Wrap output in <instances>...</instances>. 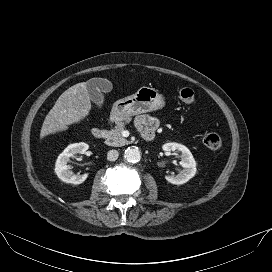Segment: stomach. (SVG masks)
I'll return each instance as SVG.
<instances>
[{"label":"stomach","instance_id":"stomach-1","mask_svg":"<svg viewBox=\"0 0 272 272\" xmlns=\"http://www.w3.org/2000/svg\"><path fill=\"white\" fill-rule=\"evenodd\" d=\"M165 98L154 88L143 86L130 96L117 100L111 114L117 120H126L134 115L162 109Z\"/></svg>","mask_w":272,"mask_h":272}]
</instances>
